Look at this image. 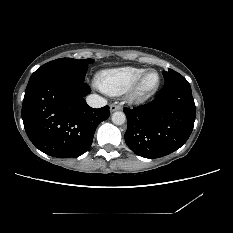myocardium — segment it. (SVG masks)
I'll return each mask as SVG.
<instances>
[{
    "label": "myocardium",
    "instance_id": "f54148a6",
    "mask_svg": "<svg viewBox=\"0 0 233 233\" xmlns=\"http://www.w3.org/2000/svg\"><path fill=\"white\" fill-rule=\"evenodd\" d=\"M150 72L156 73L157 75L156 83L151 88L144 89L143 88L144 79ZM159 84H160V76L158 71L155 69H148L144 71L129 88L128 97L130 100L133 101L146 100L150 98L157 91Z\"/></svg>",
    "mask_w": 233,
    "mask_h": 233
}]
</instances>
